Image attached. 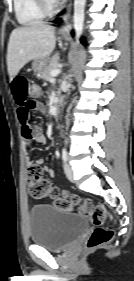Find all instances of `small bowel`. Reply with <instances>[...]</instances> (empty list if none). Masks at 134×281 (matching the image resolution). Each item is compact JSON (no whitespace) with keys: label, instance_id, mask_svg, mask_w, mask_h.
Instances as JSON below:
<instances>
[{"label":"small bowel","instance_id":"obj_1","mask_svg":"<svg viewBox=\"0 0 134 281\" xmlns=\"http://www.w3.org/2000/svg\"><path fill=\"white\" fill-rule=\"evenodd\" d=\"M29 79L21 74H18L12 78L11 91L18 105L17 115L22 127V136L26 144L35 142L37 144H45L46 137L42 134L37 127L30 123V112L34 109L43 110L41 104L31 99L29 96ZM26 162L28 166L43 164V159L40 157L32 160L28 154H26ZM44 171L51 177L55 175V171L51 167H44Z\"/></svg>","mask_w":134,"mask_h":281}]
</instances>
